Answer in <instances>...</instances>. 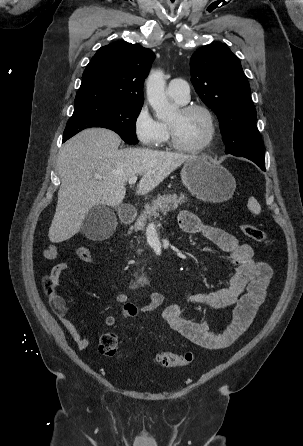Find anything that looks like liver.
Returning a JSON list of instances; mask_svg holds the SVG:
<instances>
[{
  "instance_id": "obj_1",
  "label": "liver",
  "mask_w": 303,
  "mask_h": 446,
  "mask_svg": "<svg viewBox=\"0 0 303 446\" xmlns=\"http://www.w3.org/2000/svg\"><path fill=\"white\" fill-rule=\"evenodd\" d=\"M120 137L108 129L81 131L61 149L57 166L61 179L49 240L60 243L79 232L94 206L121 204L127 181L142 175L136 194L156 188L193 155L147 148L119 149Z\"/></svg>"
}]
</instances>
